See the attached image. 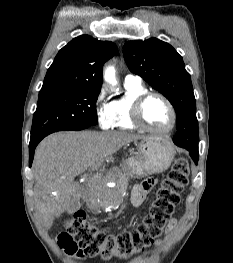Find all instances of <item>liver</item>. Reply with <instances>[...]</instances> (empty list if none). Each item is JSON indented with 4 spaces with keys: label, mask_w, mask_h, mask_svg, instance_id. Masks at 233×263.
I'll return each mask as SVG.
<instances>
[{
    "label": "liver",
    "mask_w": 233,
    "mask_h": 263,
    "mask_svg": "<svg viewBox=\"0 0 233 263\" xmlns=\"http://www.w3.org/2000/svg\"><path fill=\"white\" fill-rule=\"evenodd\" d=\"M146 136L128 132H60L37 146L33 162L35 207L43 225L51 228L68 208L76 192L74 179L96 164L112 159L122 146Z\"/></svg>",
    "instance_id": "6515ba94"
}]
</instances>
